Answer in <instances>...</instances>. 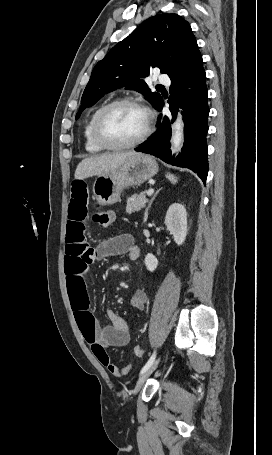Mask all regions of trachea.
Returning <instances> with one entry per match:
<instances>
[{
  "label": "trachea",
  "mask_w": 272,
  "mask_h": 455,
  "mask_svg": "<svg viewBox=\"0 0 272 455\" xmlns=\"http://www.w3.org/2000/svg\"><path fill=\"white\" fill-rule=\"evenodd\" d=\"M158 87L162 88L163 86H162V85H159Z\"/></svg>",
  "instance_id": "3493384b"
}]
</instances>
